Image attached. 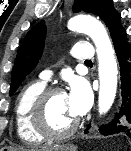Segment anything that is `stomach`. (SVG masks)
<instances>
[{
	"label": "stomach",
	"instance_id": "stomach-1",
	"mask_svg": "<svg viewBox=\"0 0 131 151\" xmlns=\"http://www.w3.org/2000/svg\"><path fill=\"white\" fill-rule=\"evenodd\" d=\"M52 151H77V147L73 144H66L56 148V150Z\"/></svg>",
	"mask_w": 131,
	"mask_h": 151
}]
</instances>
